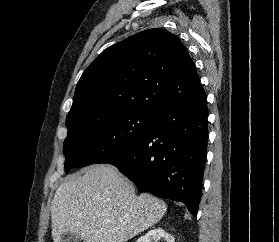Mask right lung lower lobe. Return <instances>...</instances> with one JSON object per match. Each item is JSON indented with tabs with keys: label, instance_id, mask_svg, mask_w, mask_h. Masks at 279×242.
Segmentation results:
<instances>
[{
	"label": "right lung lower lobe",
	"instance_id": "1",
	"mask_svg": "<svg viewBox=\"0 0 279 242\" xmlns=\"http://www.w3.org/2000/svg\"><path fill=\"white\" fill-rule=\"evenodd\" d=\"M205 92L155 112L153 128L100 163L116 166L139 191L183 202L197 215L208 141Z\"/></svg>",
	"mask_w": 279,
	"mask_h": 242
}]
</instances>
